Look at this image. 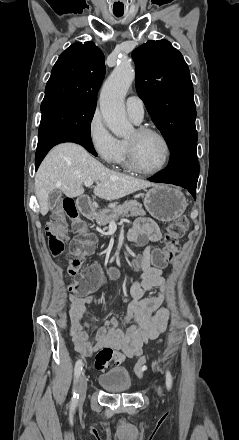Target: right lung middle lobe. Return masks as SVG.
Listing matches in <instances>:
<instances>
[{
  "label": "right lung middle lobe",
  "mask_w": 239,
  "mask_h": 440,
  "mask_svg": "<svg viewBox=\"0 0 239 440\" xmlns=\"http://www.w3.org/2000/svg\"><path fill=\"white\" fill-rule=\"evenodd\" d=\"M38 138L58 131H78L90 136L95 108L73 101L57 100L41 104Z\"/></svg>",
  "instance_id": "right-lung-middle-lobe-1"
}]
</instances>
